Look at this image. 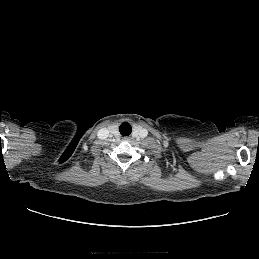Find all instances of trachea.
Listing matches in <instances>:
<instances>
[{"label": "trachea", "instance_id": "trachea-1", "mask_svg": "<svg viewBox=\"0 0 259 259\" xmlns=\"http://www.w3.org/2000/svg\"><path fill=\"white\" fill-rule=\"evenodd\" d=\"M120 133L123 135V136H128L130 135L131 131H132V128H131V125L129 123H123L121 126H120Z\"/></svg>", "mask_w": 259, "mask_h": 259}]
</instances>
